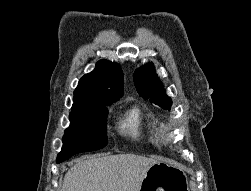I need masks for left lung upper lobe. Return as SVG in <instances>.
I'll return each mask as SVG.
<instances>
[{"mask_svg":"<svg viewBox=\"0 0 251 191\" xmlns=\"http://www.w3.org/2000/svg\"><path fill=\"white\" fill-rule=\"evenodd\" d=\"M133 78L137 92L144 99H150L152 103L159 105L163 109H170L171 98L166 95L157 74H155L153 63L137 69Z\"/></svg>","mask_w":251,"mask_h":191,"instance_id":"1","label":"left lung upper lobe"}]
</instances>
